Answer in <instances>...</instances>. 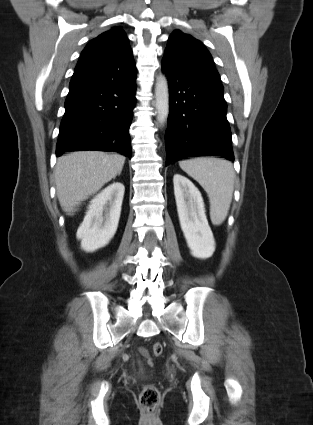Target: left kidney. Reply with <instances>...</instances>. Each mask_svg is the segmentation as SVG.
<instances>
[{"label": "left kidney", "instance_id": "5707ae66", "mask_svg": "<svg viewBox=\"0 0 313 425\" xmlns=\"http://www.w3.org/2000/svg\"><path fill=\"white\" fill-rule=\"evenodd\" d=\"M173 183L181 229L191 254L199 259H207L215 251V241L201 193L188 178L180 174L174 175Z\"/></svg>", "mask_w": 313, "mask_h": 425}]
</instances>
